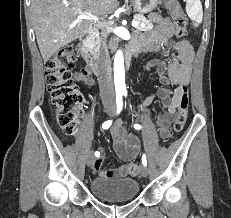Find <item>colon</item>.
Segmentation results:
<instances>
[{"mask_svg":"<svg viewBox=\"0 0 231 218\" xmlns=\"http://www.w3.org/2000/svg\"><path fill=\"white\" fill-rule=\"evenodd\" d=\"M165 1L172 14L175 35L178 38L185 37L188 23L185 13L177 0ZM77 60V51L72 46H64L45 63L46 82L53 104L54 119L60 130L67 136H74L77 133L78 117L84 101L83 94L78 89L71 72ZM188 110L189 92L185 87L180 94L178 112L173 125L176 133L183 130L188 118ZM127 173L131 176L138 175L139 166L136 163H129Z\"/></svg>","mask_w":231,"mask_h":218,"instance_id":"colon-1","label":"colon"}]
</instances>
